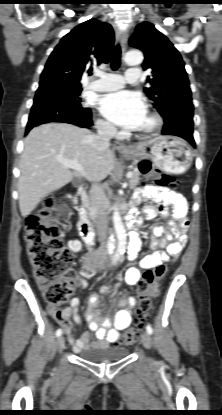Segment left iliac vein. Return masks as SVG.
<instances>
[{"label":"left iliac vein","mask_w":222,"mask_h":415,"mask_svg":"<svg viewBox=\"0 0 222 415\" xmlns=\"http://www.w3.org/2000/svg\"><path fill=\"white\" fill-rule=\"evenodd\" d=\"M142 343L147 350L151 348V337L148 332L142 334Z\"/></svg>","instance_id":"obj_1"}]
</instances>
